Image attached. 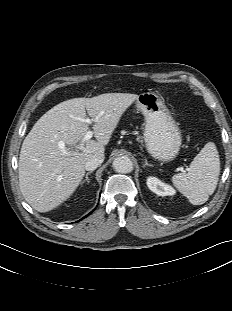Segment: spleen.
Returning <instances> with one entry per match:
<instances>
[{
	"mask_svg": "<svg viewBox=\"0 0 232 311\" xmlns=\"http://www.w3.org/2000/svg\"><path fill=\"white\" fill-rule=\"evenodd\" d=\"M220 174V159L213 142H208L195 156L186 173L172 177L173 185L193 205L204 204L216 189Z\"/></svg>",
	"mask_w": 232,
	"mask_h": 311,
	"instance_id": "1",
	"label": "spleen"
}]
</instances>
